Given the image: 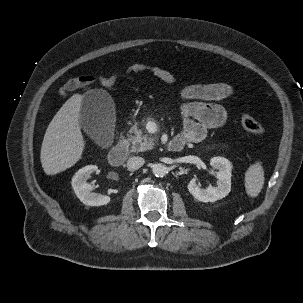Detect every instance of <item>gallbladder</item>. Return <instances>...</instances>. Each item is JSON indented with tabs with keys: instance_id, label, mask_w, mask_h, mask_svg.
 <instances>
[{
	"instance_id": "gallbladder-1",
	"label": "gallbladder",
	"mask_w": 303,
	"mask_h": 303,
	"mask_svg": "<svg viewBox=\"0 0 303 303\" xmlns=\"http://www.w3.org/2000/svg\"><path fill=\"white\" fill-rule=\"evenodd\" d=\"M115 122L114 102L105 90L86 92L82 98L80 125L97 144L106 145Z\"/></svg>"
}]
</instances>
